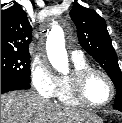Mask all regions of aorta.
I'll list each match as a JSON object with an SVG mask.
<instances>
[{
	"mask_svg": "<svg viewBox=\"0 0 122 123\" xmlns=\"http://www.w3.org/2000/svg\"><path fill=\"white\" fill-rule=\"evenodd\" d=\"M48 59L58 72L68 71V56L65 49L64 34L60 27H54L46 42Z\"/></svg>",
	"mask_w": 122,
	"mask_h": 123,
	"instance_id": "762f6f07",
	"label": "aorta"
}]
</instances>
